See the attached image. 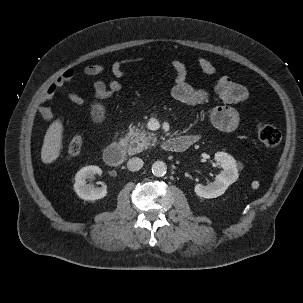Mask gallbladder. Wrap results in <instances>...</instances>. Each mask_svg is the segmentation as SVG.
Returning a JSON list of instances; mask_svg holds the SVG:
<instances>
[{
  "mask_svg": "<svg viewBox=\"0 0 303 303\" xmlns=\"http://www.w3.org/2000/svg\"><path fill=\"white\" fill-rule=\"evenodd\" d=\"M102 112V108L99 105H95L93 107L92 116L95 120H99L101 118L100 114Z\"/></svg>",
  "mask_w": 303,
  "mask_h": 303,
  "instance_id": "obj_1",
  "label": "gallbladder"
}]
</instances>
